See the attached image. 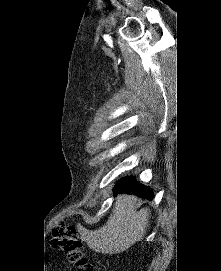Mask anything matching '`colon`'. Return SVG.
<instances>
[{
	"instance_id": "1",
	"label": "colon",
	"mask_w": 221,
	"mask_h": 271,
	"mask_svg": "<svg viewBox=\"0 0 221 271\" xmlns=\"http://www.w3.org/2000/svg\"><path fill=\"white\" fill-rule=\"evenodd\" d=\"M54 239L68 261L78 266V271H96V266L87 261L82 251L83 242L78 231L69 226L66 221L60 222Z\"/></svg>"
}]
</instances>
